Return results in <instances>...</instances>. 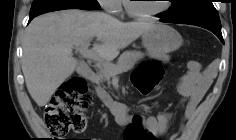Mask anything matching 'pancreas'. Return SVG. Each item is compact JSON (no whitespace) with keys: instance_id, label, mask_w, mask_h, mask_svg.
Masks as SVG:
<instances>
[{"instance_id":"obj_1","label":"pancreas","mask_w":236,"mask_h":140,"mask_svg":"<svg viewBox=\"0 0 236 140\" xmlns=\"http://www.w3.org/2000/svg\"><path fill=\"white\" fill-rule=\"evenodd\" d=\"M143 57L144 54L140 51H126L119 57L116 65L109 62H103L100 65L98 73L93 76V81L96 83L104 80L109 81L110 78L114 76L115 70L127 71Z\"/></svg>"}]
</instances>
